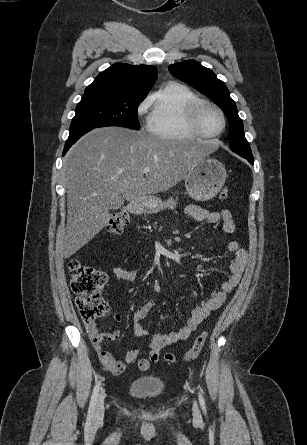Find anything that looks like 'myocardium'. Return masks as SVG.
I'll return each instance as SVG.
<instances>
[{
  "instance_id": "obj_1",
  "label": "myocardium",
  "mask_w": 307,
  "mask_h": 445,
  "mask_svg": "<svg viewBox=\"0 0 307 445\" xmlns=\"http://www.w3.org/2000/svg\"><path fill=\"white\" fill-rule=\"evenodd\" d=\"M206 106H210V107H213V108L217 109L221 113V115L223 117L224 129L220 133H218V134H211V133H209L207 131V129L205 128L203 122H202L201 114H202L203 108L206 107ZM189 115H190V120H191V123H192L195 131L200 136H202L204 138L219 137L227 130V127H228V116H227L225 110L220 105H218V104H216L214 102L206 101V100H199V101H197L192 106V108L190 109Z\"/></svg>"
}]
</instances>
